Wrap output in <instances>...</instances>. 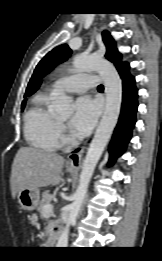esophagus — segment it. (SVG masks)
Returning <instances> with one entry per match:
<instances>
[{
  "mask_svg": "<svg viewBox=\"0 0 162 261\" xmlns=\"http://www.w3.org/2000/svg\"><path fill=\"white\" fill-rule=\"evenodd\" d=\"M84 151H85V146L82 147L78 152L70 154L67 160V167L78 170L82 164V157Z\"/></svg>",
  "mask_w": 162,
  "mask_h": 261,
  "instance_id": "obj_1",
  "label": "esophagus"
}]
</instances>
